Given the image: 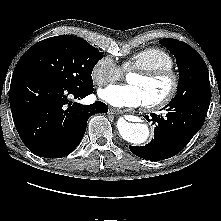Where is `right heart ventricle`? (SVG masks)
I'll return each instance as SVG.
<instances>
[{"label":"right heart ventricle","mask_w":221,"mask_h":221,"mask_svg":"<svg viewBox=\"0 0 221 221\" xmlns=\"http://www.w3.org/2000/svg\"><path fill=\"white\" fill-rule=\"evenodd\" d=\"M174 60L172 56L164 49L158 47H149L133 54L122 65L123 70L134 69H173Z\"/></svg>","instance_id":"1"}]
</instances>
